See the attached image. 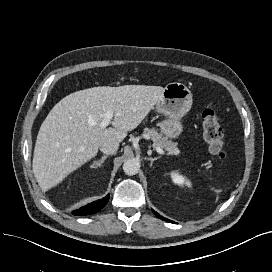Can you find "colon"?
Segmentation results:
<instances>
[{
    "mask_svg": "<svg viewBox=\"0 0 272 272\" xmlns=\"http://www.w3.org/2000/svg\"><path fill=\"white\" fill-rule=\"evenodd\" d=\"M202 136L209 151L218 157H226L224 132L216 110L209 106L202 113Z\"/></svg>",
    "mask_w": 272,
    "mask_h": 272,
    "instance_id": "1",
    "label": "colon"
}]
</instances>
